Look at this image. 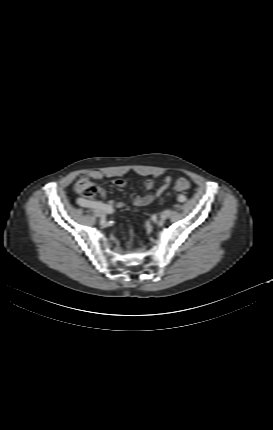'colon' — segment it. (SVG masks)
I'll use <instances>...</instances> for the list:
<instances>
[{
    "label": "colon",
    "instance_id": "1",
    "mask_svg": "<svg viewBox=\"0 0 273 430\" xmlns=\"http://www.w3.org/2000/svg\"><path fill=\"white\" fill-rule=\"evenodd\" d=\"M190 187L187 180H179L175 183L174 190L177 192L185 191ZM75 192L82 197H93L98 192L96 184L88 175H83L75 184ZM180 196V195H179ZM178 196V197H179ZM125 235L126 232L122 231Z\"/></svg>",
    "mask_w": 273,
    "mask_h": 430
}]
</instances>
